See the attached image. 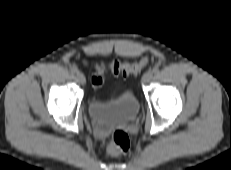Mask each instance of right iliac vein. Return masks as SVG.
I'll return each mask as SVG.
<instances>
[{
  "mask_svg": "<svg viewBox=\"0 0 231 170\" xmlns=\"http://www.w3.org/2000/svg\"><path fill=\"white\" fill-rule=\"evenodd\" d=\"M76 79L82 85H84L86 83V78H85L84 74L81 72H77Z\"/></svg>",
  "mask_w": 231,
  "mask_h": 170,
  "instance_id": "obj_1",
  "label": "right iliac vein"
}]
</instances>
